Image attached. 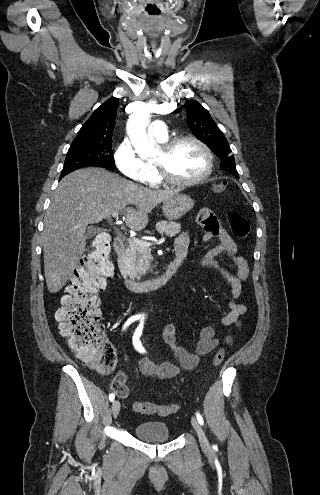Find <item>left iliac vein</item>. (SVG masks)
<instances>
[{
  "instance_id": "obj_1",
  "label": "left iliac vein",
  "mask_w": 320,
  "mask_h": 495,
  "mask_svg": "<svg viewBox=\"0 0 320 495\" xmlns=\"http://www.w3.org/2000/svg\"><path fill=\"white\" fill-rule=\"evenodd\" d=\"M191 423H192L194 430L196 431V433L198 435L199 442H200L202 449L205 451H210L211 447H210L209 441L207 440L206 435H205L201 425L199 424L198 420L194 416L191 417Z\"/></svg>"
}]
</instances>
